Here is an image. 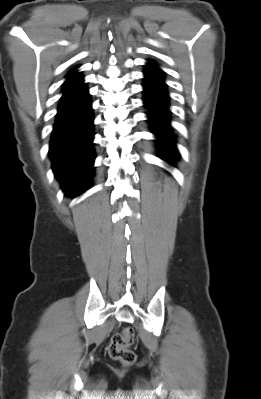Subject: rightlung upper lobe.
Instances as JSON below:
<instances>
[{
	"mask_svg": "<svg viewBox=\"0 0 261 399\" xmlns=\"http://www.w3.org/2000/svg\"><path fill=\"white\" fill-rule=\"evenodd\" d=\"M74 70H75V69H73L71 72H69V76H68V78L66 79V81L72 80V79H74V78H77V77L81 76L80 73H73Z\"/></svg>",
	"mask_w": 261,
	"mask_h": 399,
	"instance_id": "1",
	"label": "right lung upper lobe"
}]
</instances>
